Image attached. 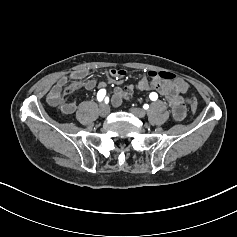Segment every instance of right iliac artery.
I'll return each mask as SVG.
<instances>
[{
  "mask_svg": "<svg viewBox=\"0 0 237 237\" xmlns=\"http://www.w3.org/2000/svg\"><path fill=\"white\" fill-rule=\"evenodd\" d=\"M105 95H106V90L105 89L99 90L98 93H97L98 101L101 102L104 99Z\"/></svg>",
  "mask_w": 237,
  "mask_h": 237,
  "instance_id": "right-iliac-artery-1",
  "label": "right iliac artery"
}]
</instances>
